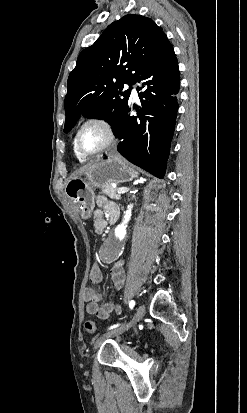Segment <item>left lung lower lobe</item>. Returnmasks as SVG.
I'll return each mask as SVG.
<instances>
[{
	"label": "left lung lower lobe",
	"instance_id": "left-lung-lower-lobe-1",
	"mask_svg": "<svg viewBox=\"0 0 247 413\" xmlns=\"http://www.w3.org/2000/svg\"><path fill=\"white\" fill-rule=\"evenodd\" d=\"M141 105L133 106L137 117L129 116L115 131L119 153L133 164L163 178L178 111L180 87L178 62L173 47L165 48L136 80ZM107 158V157H105Z\"/></svg>",
	"mask_w": 247,
	"mask_h": 413
}]
</instances>
